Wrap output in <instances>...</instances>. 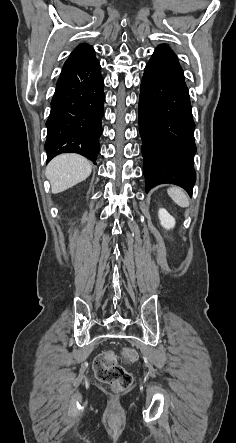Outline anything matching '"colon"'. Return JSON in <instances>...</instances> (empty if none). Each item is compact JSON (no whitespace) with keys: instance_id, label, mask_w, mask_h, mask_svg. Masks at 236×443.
<instances>
[{"instance_id":"obj_1","label":"colon","mask_w":236,"mask_h":443,"mask_svg":"<svg viewBox=\"0 0 236 443\" xmlns=\"http://www.w3.org/2000/svg\"><path fill=\"white\" fill-rule=\"evenodd\" d=\"M124 361L135 362L138 358L137 351L131 347H125L121 352ZM96 377L109 384L117 391L128 389L132 384L131 374L121 365L116 363V356L111 352L99 355L93 364Z\"/></svg>"}]
</instances>
